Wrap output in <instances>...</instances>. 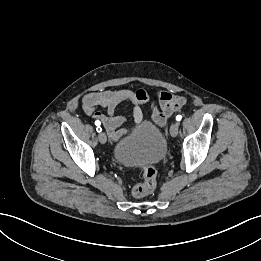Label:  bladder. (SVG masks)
<instances>
[{"label": "bladder", "mask_w": 261, "mask_h": 261, "mask_svg": "<svg viewBox=\"0 0 261 261\" xmlns=\"http://www.w3.org/2000/svg\"><path fill=\"white\" fill-rule=\"evenodd\" d=\"M166 152L163 133L152 123L143 122L114 145L113 157L126 167H144L159 163Z\"/></svg>", "instance_id": "obj_1"}]
</instances>
